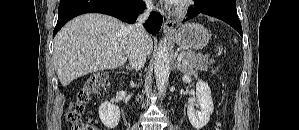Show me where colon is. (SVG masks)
<instances>
[{
	"label": "colon",
	"mask_w": 299,
	"mask_h": 130,
	"mask_svg": "<svg viewBox=\"0 0 299 130\" xmlns=\"http://www.w3.org/2000/svg\"><path fill=\"white\" fill-rule=\"evenodd\" d=\"M107 81L108 74L106 72L95 73L85 81L77 99L70 105L67 112V120L71 124V130H97L94 125L83 120V114L92 95L104 88Z\"/></svg>",
	"instance_id": "colon-1"
}]
</instances>
